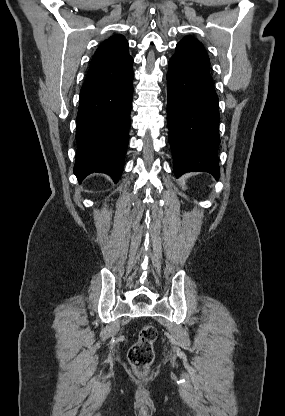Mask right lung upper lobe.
<instances>
[{"instance_id": "right-lung-upper-lobe-1", "label": "right lung upper lobe", "mask_w": 285, "mask_h": 416, "mask_svg": "<svg viewBox=\"0 0 285 416\" xmlns=\"http://www.w3.org/2000/svg\"><path fill=\"white\" fill-rule=\"evenodd\" d=\"M133 58L122 35L105 40L96 50L80 95L108 87L131 73Z\"/></svg>"}]
</instances>
